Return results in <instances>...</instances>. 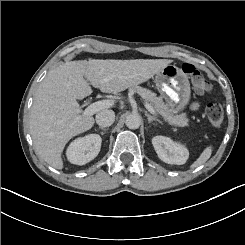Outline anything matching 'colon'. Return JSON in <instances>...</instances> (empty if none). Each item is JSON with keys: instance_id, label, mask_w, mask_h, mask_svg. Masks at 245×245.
Listing matches in <instances>:
<instances>
[{"instance_id": "1", "label": "colon", "mask_w": 245, "mask_h": 245, "mask_svg": "<svg viewBox=\"0 0 245 245\" xmlns=\"http://www.w3.org/2000/svg\"><path fill=\"white\" fill-rule=\"evenodd\" d=\"M183 71L189 75L194 88L201 94L210 91L211 86L202 74L193 64L185 63L182 66ZM206 116L209 123L213 127H220L224 120V113L222 106L218 103H209L206 106Z\"/></svg>"}]
</instances>
